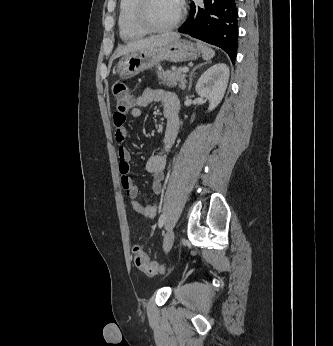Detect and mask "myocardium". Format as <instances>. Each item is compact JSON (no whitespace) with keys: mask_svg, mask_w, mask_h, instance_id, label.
<instances>
[{"mask_svg":"<svg viewBox=\"0 0 333 346\" xmlns=\"http://www.w3.org/2000/svg\"><path fill=\"white\" fill-rule=\"evenodd\" d=\"M149 4L150 0H138L136 5V19L139 25L148 32L162 33L175 28L181 21L184 13V4L178 1V11L173 20L163 26H158L152 22L149 17Z\"/></svg>","mask_w":333,"mask_h":346,"instance_id":"myocardium-1","label":"myocardium"}]
</instances>
